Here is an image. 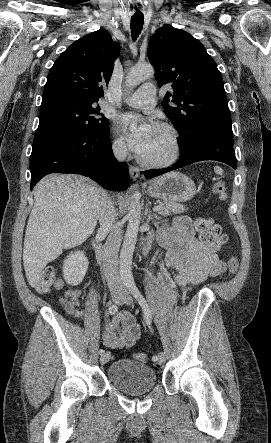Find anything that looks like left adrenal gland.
<instances>
[{
	"label": "left adrenal gland",
	"instance_id": "1",
	"mask_svg": "<svg viewBox=\"0 0 271 443\" xmlns=\"http://www.w3.org/2000/svg\"><path fill=\"white\" fill-rule=\"evenodd\" d=\"M154 218H157V220H161V218H158V216H154Z\"/></svg>",
	"mask_w": 271,
	"mask_h": 443
}]
</instances>
